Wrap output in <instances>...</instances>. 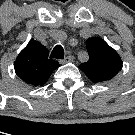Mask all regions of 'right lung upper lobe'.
Here are the masks:
<instances>
[{
    "mask_svg": "<svg viewBox=\"0 0 135 135\" xmlns=\"http://www.w3.org/2000/svg\"><path fill=\"white\" fill-rule=\"evenodd\" d=\"M58 67L57 61L48 58V50L33 39L14 62L16 74L28 85L34 87L44 85Z\"/></svg>",
    "mask_w": 135,
    "mask_h": 135,
    "instance_id": "1",
    "label": "right lung upper lobe"
}]
</instances>
